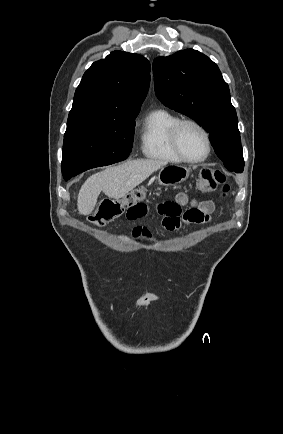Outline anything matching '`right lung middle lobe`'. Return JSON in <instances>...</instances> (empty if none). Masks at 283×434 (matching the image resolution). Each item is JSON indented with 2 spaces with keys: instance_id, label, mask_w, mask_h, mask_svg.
Here are the masks:
<instances>
[{
  "instance_id": "obj_1",
  "label": "right lung middle lobe",
  "mask_w": 283,
  "mask_h": 434,
  "mask_svg": "<svg viewBox=\"0 0 283 434\" xmlns=\"http://www.w3.org/2000/svg\"><path fill=\"white\" fill-rule=\"evenodd\" d=\"M135 118L68 120L62 157L64 179L125 160L133 146Z\"/></svg>"
}]
</instances>
